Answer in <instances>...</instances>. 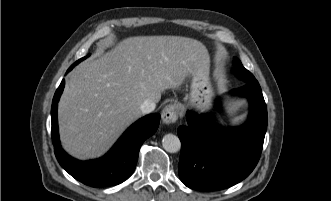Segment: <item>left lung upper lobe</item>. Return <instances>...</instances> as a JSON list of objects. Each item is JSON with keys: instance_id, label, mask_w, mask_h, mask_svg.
I'll return each instance as SVG.
<instances>
[{"instance_id": "5c2ea615", "label": "left lung upper lobe", "mask_w": 331, "mask_h": 201, "mask_svg": "<svg viewBox=\"0 0 331 201\" xmlns=\"http://www.w3.org/2000/svg\"><path fill=\"white\" fill-rule=\"evenodd\" d=\"M234 70L235 74L245 82H257L255 77L243 67L238 58H234Z\"/></svg>"}]
</instances>
